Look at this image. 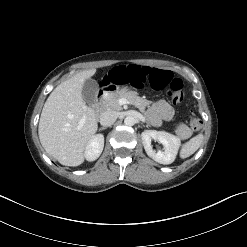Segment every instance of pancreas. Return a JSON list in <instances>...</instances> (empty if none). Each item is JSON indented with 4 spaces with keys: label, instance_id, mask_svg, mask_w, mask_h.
Listing matches in <instances>:
<instances>
[{
    "label": "pancreas",
    "instance_id": "obj_1",
    "mask_svg": "<svg viewBox=\"0 0 247 247\" xmlns=\"http://www.w3.org/2000/svg\"><path fill=\"white\" fill-rule=\"evenodd\" d=\"M121 98L127 99V101L139 108L145 115V108L151 103L150 101L137 96L135 92L127 93L124 91L108 94L104 96L103 100L107 108L119 111L122 109V106L119 104V99ZM175 133L181 139H187L191 136L192 131L186 124L180 123L175 129Z\"/></svg>",
    "mask_w": 247,
    "mask_h": 247
}]
</instances>
